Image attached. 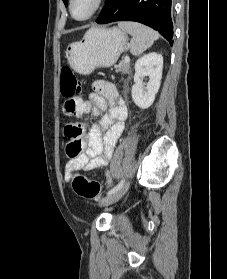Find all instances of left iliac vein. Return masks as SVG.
<instances>
[{
	"mask_svg": "<svg viewBox=\"0 0 227 279\" xmlns=\"http://www.w3.org/2000/svg\"><path fill=\"white\" fill-rule=\"evenodd\" d=\"M129 186H130V183L127 182L125 183L118 191L110 194L109 196H107L106 198H104L100 203L99 205L100 206H107L109 204H112L116 201H118L119 199H121L125 193L128 191L129 189Z\"/></svg>",
	"mask_w": 227,
	"mask_h": 279,
	"instance_id": "left-iliac-vein-1",
	"label": "left iliac vein"
}]
</instances>
